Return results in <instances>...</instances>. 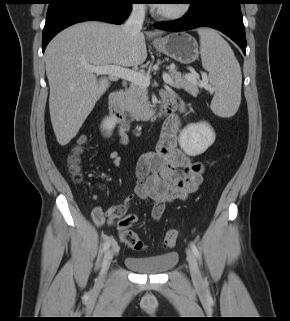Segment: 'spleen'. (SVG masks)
Masks as SVG:
<instances>
[{
	"label": "spleen",
	"instance_id": "obj_1",
	"mask_svg": "<svg viewBox=\"0 0 290 321\" xmlns=\"http://www.w3.org/2000/svg\"><path fill=\"white\" fill-rule=\"evenodd\" d=\"M203 68L215 88L211 110L220 117L233 116L241 102L242 74L229 44L213 29L198 30Z\"/></svg>",
	"mask_w": 290,
	"mask_h": 321
}]
</instances>
